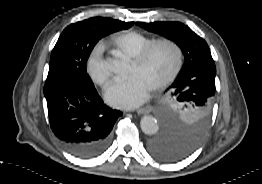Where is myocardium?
<instances>
[{
  "instance_id": "obj_1",
  "label": "myocardium",
  "mask_w": 262,
  "mask_h": 184,
  "mask_svg": "<svg viewBox=\"0 0 262 184\" xmlns=\"http://www.w3.org/2000/svg\"><path fill=\"white\" fill-rule=\"evenodd\" d=\"M162 45H168L172 47L176 52V62L170 73L162 79L160 82H158L156 85L153 86V90H161L165 87H167L169 84H171L179 75L183 63H184V50L180 43L173 39L164 38L159 39L148 45L146 48H144L134 59L133 62L137 65H142L147 61V59L150 57V55L153 53V51Z\"/></svg>"
}]
</instances>
